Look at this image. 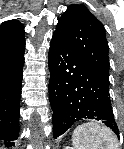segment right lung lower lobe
<instances>
[{"instance_id":"98d812e1","label":"right lung lower lobe","mask_w":124,"mask_h":149,"mask_svg":"<svg viewBox=\"0 0 124 149\" xmlns=\"http://www.w3.org/2000/svg\"><path fill=\"white\" fill-rule=\"evenodd\" d=\"M25 40L0 44V139L7 147L19 136V101Z\"/></svg>"}]
</instances>
